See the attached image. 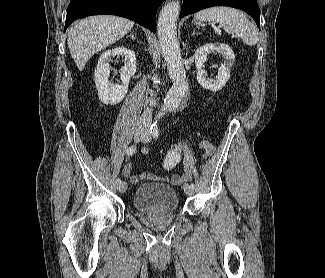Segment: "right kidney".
<instances>
[{
  "label": "right kidney",
  "instance_id": "right-kidney-1",
  "mask_svg": "<svg viewBox=\"0 0 325 278\" xmlns=\"http://www.w3.org/2000/svg\"><path fill=\"white\" fill-rule=\"evenodd\" d=\"M124 57V67L121 68V84H113L108 78L111 67L109 61L112 57ZM136 72V56L133 50L125 46H117L102 53L95 70V84L98 96L102 103L115 105L126 96L131 76Z\"/></svg>",
  "mask_w": 325,
  "mask_h": 278
}]
</instances>
